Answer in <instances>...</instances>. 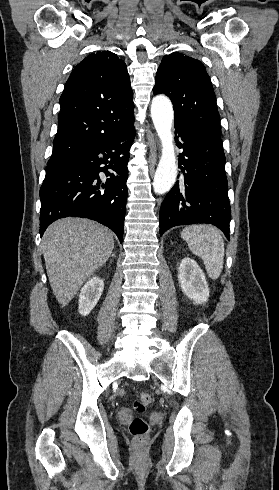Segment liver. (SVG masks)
Returning <instances> with one entry per match:
<instances>
[{
	"label": "liver",
	"mask_w": 279,
	"mask_h": 490,
	"mask_svg": "<svg viewBox=\"0 0 279 490\" xmlns=\"http://www.w3.org/2000/svg\"><path fill=\"white\" fill-rule=\"evenodd\" d=\"M113 248V232L93 220L63 218L47 228L42 252L50 286L62 308L89 276L106 264Z\"/></svg>",
	"instance_id": "1"
}]
</instances>
